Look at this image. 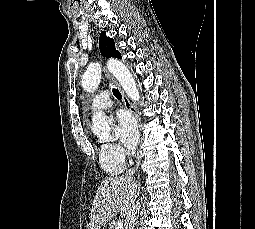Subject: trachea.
Masks as SVG:
<instances>
[{
  "label": "trachea",
  "mask_w": 255,
  "mask_h": 229,
  "mask_svg": "<svg viewBox=\"0 0 255 229\" xmlns=\"http://www.w3.org/2000/svg\"><path fill=\"white\" fill-rule=\"evenodd\" d=\"M113 94L117 99H121L122 95L118 89H113Z\"/></svg>",
  "instance_id": "obj_1"
}]
</instances>
